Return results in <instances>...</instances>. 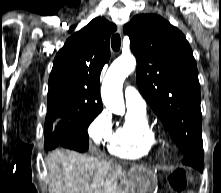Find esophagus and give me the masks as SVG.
Instances as JSON below:
<instances>
[{"label":"esophagus","mask_w":221,"mask_h":193,"mask_svg":"<svg viewBox=\"0 0 221 193\" xmlns=\"http://www.w3.org/2000/svg\"><path fill=\"white\" fill-rule=\"evenodd\" d=\"M118 31H119L120 35H122V31H123L122 26H118Z\"/></svg>","instance_id":"esophagus-1"}]
</instances>
